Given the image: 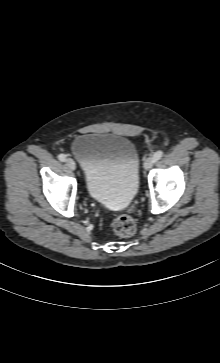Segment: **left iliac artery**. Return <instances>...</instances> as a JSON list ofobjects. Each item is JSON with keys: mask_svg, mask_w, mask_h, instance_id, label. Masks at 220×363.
<instances>
[{"mask_svg": "<svg viewBox=\"0 0 220 363\" xmlns=\"http://www.w3.org/2000/svg\"><path fill=\"white\" fill-rule=\"evenodd\" d=\"M163 156V151L159 150L157 151L154 155H153V159L154 162L158 161L159 159H161V157Z\"/></svg>", "mask_w": 220, "mask_h": 363, "instance_id": "obj_1", "label": "left iliac artery"}]
</instances>
